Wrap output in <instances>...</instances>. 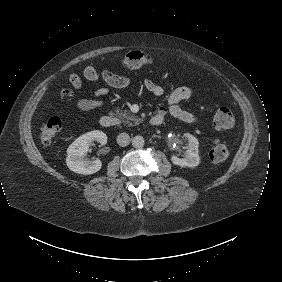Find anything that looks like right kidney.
<instances>
[{
    "label": "right kidney",
    "instance_id": "1",
    "mask_svg": "<svg viewBox=\"0 0 282 282\" xmlns=\"http://www.w3.org/2000/svg\"><path fill=\"white\" fill-rule=\"evenodd\" d=\"M93 141L105 145L107 143V135L100 130L87 132L78 137L68 147L66 164L71 171L78 174L89 175L101 169L102 162L99 159L90 161L84 158L85 153L89 150Z\"/></svg>",
    "mask_w": 282,
    "mask_h": 282
}]
</instances>
